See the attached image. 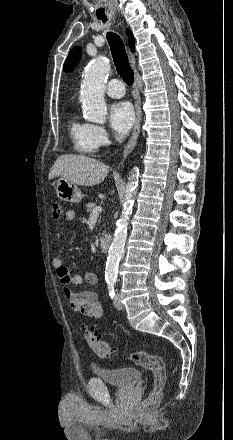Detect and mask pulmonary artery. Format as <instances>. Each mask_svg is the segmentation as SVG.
<instances>
[{
    "instance_id": "1",
    "label": "pulmonary artery",
    "mask_w": 233,
    "mask_h": 440,
    "mask_svg": "<svg viewBox=\"0 0 233 440\" xmlns=\"http://www.w3.org/2000/svg\"><path fill=\"white\" fill-rule=\"evenodd\" d=\"M106 92L110 97L121 98L125 93L124 85L120 80L112 79L107 84Z\"/></svg>"
}]
</instances>
